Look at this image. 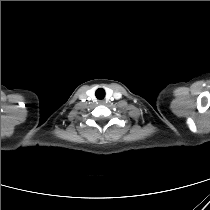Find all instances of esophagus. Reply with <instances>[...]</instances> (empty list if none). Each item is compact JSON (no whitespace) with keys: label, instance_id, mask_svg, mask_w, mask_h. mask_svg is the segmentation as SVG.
Returning <instances> with one entry per match:
<instances>
[{"label":"esophagus","instance_id":"1","mask_svg":"<svg viewBox=\"0 0 210 210\" xmlns=\"http://www.w3.org/2000/svg\"><path fill=\"white\" fill-rule=\"evenodd\" d=\"M99 103H100V104H104V101H103V100H101V101H99Z\"/></svg>","mask_w":210,"mask_h":210}]
</instances>
